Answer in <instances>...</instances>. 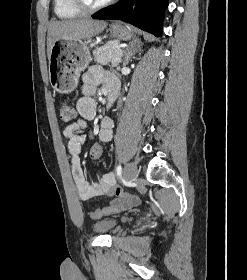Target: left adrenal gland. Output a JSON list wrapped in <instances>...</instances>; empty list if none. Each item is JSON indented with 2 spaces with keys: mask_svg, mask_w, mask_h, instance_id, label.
<instances>
[{
  "mask_svg": "<svg viewBox=\"0 0 247 280\" xmlns=\"http://www.w3.org/2000/svg\"><path fill=\"white\" fill-rule=\"evenodd\" d=\"M138 51H141L140 48V43L138 42H132L130 43V46L128 48H126V51L124 52V62H123V66L128 65L130 59L135 55V53H137Z\"/></svg>",
  "mask_w": 247,
  "mask_h": 280,
  "instance_id": "a2214340",
  "label": "left adrenal gland"
}]
</instances>
